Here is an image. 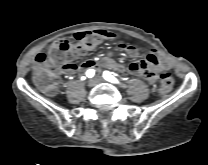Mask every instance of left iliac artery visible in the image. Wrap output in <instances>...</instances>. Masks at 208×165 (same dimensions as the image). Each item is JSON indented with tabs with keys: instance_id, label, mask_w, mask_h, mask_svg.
Returning a JSON list of instances; mask_svg holds the SVG:
<instances>
[{
	"instance_id": "44dca946",
	"label": "left iliac artery",
	"mask_w": 208,
	"mask_h": 165,
	"mask_svg": "<svg viewBox=\"0 0 208 165\" xmlns=\"http://www.w3.org/2000/svg\"><path fill=\"white\" fill-rule=\"evenodd\" d=\"M103 77L105 80L109 81V82H112V83H118L119 81L110 74V72L108 71H104L103 73Z\"/></svg>"
}]
</instances>
